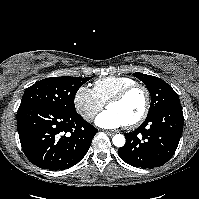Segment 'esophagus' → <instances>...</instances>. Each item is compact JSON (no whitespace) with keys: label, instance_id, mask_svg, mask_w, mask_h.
Masks as SVG:
<instances>
[{"label":"esophagus","instance_id":"esophagus-1","mask_svg":"<svg viewBox=\"0 0 199 199\" xmlns=\"http://www.w3.org/2000/svg\"><path fill=\"white\" fill-rule=\"evenodd\" d=\"M104 132L109 135V136H113L115 134L114 131H110V130H104Z\"/></svg>","mask_w":199,"mask_h":199}]
</instances>
